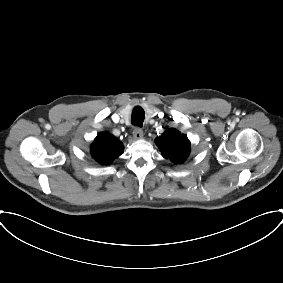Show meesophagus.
I'll list each match as a JSON object with an SVG mask.
<instances>
[{
	"label": "esophagus",
	"mask_w": 283,
	"mask_h": 283,
	"mask_svg": "<svg viewBox=\"0 0 283 283\" xmlns=\"http://www.w3.org/2000/svg\"><path fill=\"white\" fill-rule=\"evenodd\" d=\"M133 136L135 139H141L143 137V131L141 128L136 127L133 130Z\"/></svg>",
	"instance_id": "34e87169"
}]
</instances>
